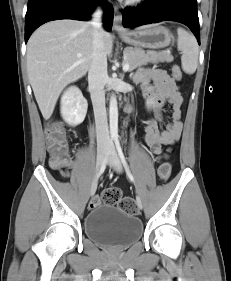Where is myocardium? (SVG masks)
<instances>
[{"instance_id": "1", "label": "myocardium", "mask_w": 231, "mask_h": 281, "mask_svg": "<svg viewBox=\"0 0 231 281\" xmlns=\"http://www.w3.org/2000/svg\"><path fill=\"white\" fill-rule=\"evenodd\" d=\"M145 0H127L128 5L136 6L143 3Z\"/></svg>"}]
</instances>
